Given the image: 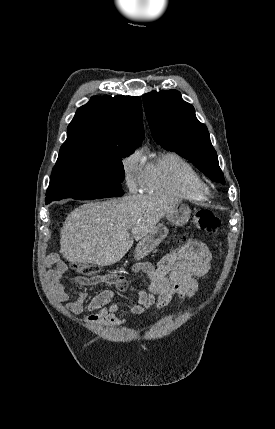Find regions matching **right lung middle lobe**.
<instances>
[{
    "mask_svg": "<svg viewBox=\"0 0 275 429\" xmlns=\"http://www.w3.org/2000/svg\"><path fill=\"white\" fill-rule=\"evenodd\" d=\"M129 153L58 157L46 193V204L63 198L91 200L124 194L122 158Z\"/></svg>",
    "mask_w": 275,
    "mask_h": 429,
    "instance_id": "right-lung-middle-lobe-1",
    "label": "right lung middle lobe"
}]
</instances>
